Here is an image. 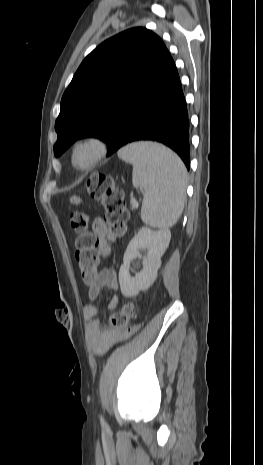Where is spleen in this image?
<instances>
[{"label":"spleen","instance_id":"1","mask_svg":"<svg viewBox=\"0 0 263 465\" xmlns=\"http://www.w3.org/2000/svg\"><path fill=\"white\" fill-rule=\"evenodd\" d=\"M118 155L133 165L132 183L143 190L142 221L154 228L172 227L185 204L187 171L182 160L164 146L140 142Z\"/></svg>","mask_w":263,"mask_h":465}]
</instances>
